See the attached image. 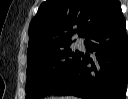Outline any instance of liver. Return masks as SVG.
I'll list each match as a JSON object with an SVG mask.
<instances>
[{
    "label": "liver",
    "mask_w": 128,
    "mask_h": 99,
    "mask_svg": "<svg viewBox=\"0 0 128 99\" xmlns=\"http://www.w3.org/2000/svg\"><path fill=\"white\" fill-rule=\"evenodd\" d=\"M62 99H77V98H74V97H67V98H62Z\"/></svg>",
    "instance_id": "1"
}]
</instances>
